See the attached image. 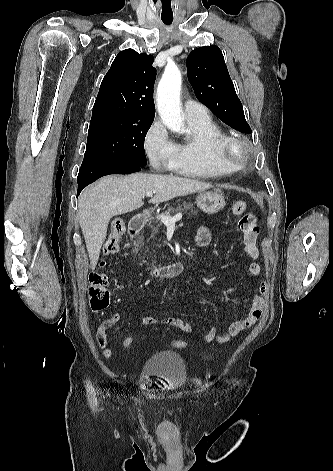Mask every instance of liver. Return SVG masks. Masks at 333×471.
Instances as JSON below:
<instances>
[{"label":"liver","instance_id":"6515ba94","mask_svg":"<svg viewBox=\"0 0 333 471\" xmlns=\"http://www.w3.org/2000/svg\"><path fill=\"white\" fill-rule=\"evenodd\" d=\"M212 187L203 181L173 175L136 173L106 176L86 188L78 199V214L91 269L97 265L110 219L143 206L147 192L155 193L150 203H161Z\"/></svg>","mask_w":333,"mask_h":471}]
</instances>
